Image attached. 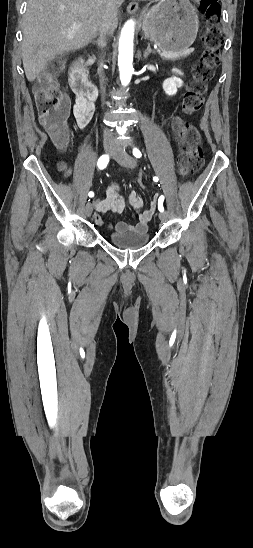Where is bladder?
Wrapping results in <instances>:
<instances>
[{"mask_svg":"<svg viewBox=\"0 0 253 548\" xmlns=\"http://www.w3.org/2000/svg\"><path fill=\"white\" fill-rule=\"evenodd\" d=\"M108 239L117 248L138 249L149 242V235L147 232H113Z\"/></svg>","mask_w":253,"mask_h":548,"instance_id":"bladder-1","label":"bladder"}]
</instances>
